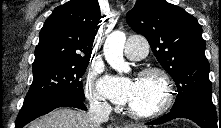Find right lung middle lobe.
Returning <instances> with one entry per match:
<instances>
[{
	"instance_id": "right-lung-middle-lobe-1",
	"label": "right lung middle lobe",
	"mask_w": 221,
	"mask_h": 128,
	"mask_svg": "<svg viewBox=\"0 0 221 128\" xmlns=\"http://www.w3.org/2000/svg\"><path fill=\"white\" fill-rule=\"evenodd\" d=\"M89 59L33 71V82L24 103L50 95L67 94L85 100L82 81Z\"/></svg>"
}]
</instances>
